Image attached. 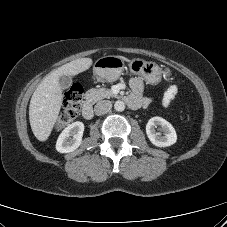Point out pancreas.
<instances>
[{"label":"pancreas","instance_id":"1","mask_svg":"<svg viewBox=\"0 0 227 227\" xmlns=\"http://www.w3.org/2000/svg\"><path fill=\"white\" fill-rule=\"evenodd\" d=\"M111 97H116V95H114L111 90L106 88H97V89L92 88V89H89L85 94L86 100L92 104L104 98H111Z\"/></svg>","mask_w":227,"mask_h":227}]
</instances>
